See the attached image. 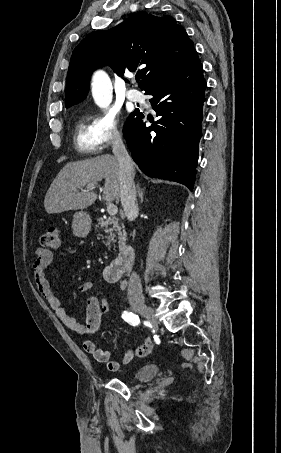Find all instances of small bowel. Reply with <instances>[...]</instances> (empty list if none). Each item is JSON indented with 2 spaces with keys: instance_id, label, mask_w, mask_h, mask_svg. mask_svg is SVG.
<instances>
[{
  "instance_id": "obj_1",
  "label": "small bowel",
  "mask_w": 281,
  "mask_h": 453,
  "mask_svg": "<svg viewBox=\"0 0 281 453\" xmlns=\"http://www.w3.org/2000/svg\"><path fill=\"white\" fill-rule=\"evenodd\" d=\"M52 259V252L47 248L36 247L34 249L33 273L38 291L67 328L81 336L98 331L101 327L104 314L109 310L108 300L100 297L95 292L96 285L93 282L82 283L78 287V292L82 294L89 293L86 306L87 316L85 323L77 321L70 315L66 307L60 303L57 295L51 289L49 279L46 276V270L51 264ZM82 346L96 361L106 364L109 370H118L123 364L130 363L135 355H148L151 342L149 338H146L141 346L128 349L120 359H111L109 351L98 347L92 340H84Z\"/></svg>"
}]
</instances>
